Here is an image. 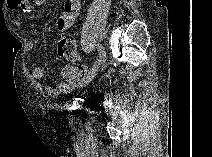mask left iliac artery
<instances>
[{"label": "left iliac artery", "instance_id": "left-iliac-artery-1", "mask_svg": "<svg viewBox=\"0 0 212 157\" xmlns=\"http://www.w3.org/2000/svg\"><path fill=\"white\" fill-rule=\"evenodd\" d=\"M98 55H99V58L106 59V52L104 47L101 44H98Z\"/></svg>", "mask_w": 212, "mask_h": 157}]
</instances>
